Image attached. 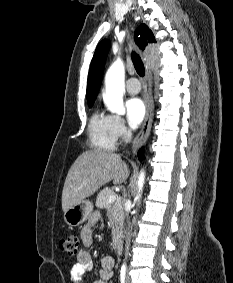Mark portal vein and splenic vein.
Wrapping results in <instances>:
<instances>
[{"label":"portal vein and splenic vein","instance_id":"1","mask_svg":"<svg viewBox=\"0 0 233 283\" xmlns=\"http://www.w3.org/2000/svg\"><path fill=\"white\" fill-rule=\"evenodd\" d=\"M120 200V197L118 195H111L109 197V202L112 203V202H115V201H118Z\"/></svg>","mask_w":233,"mask_h":283}]
</instances>
